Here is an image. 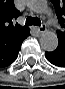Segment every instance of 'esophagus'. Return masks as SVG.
Masks as SVG:
<instances>
[{
    "label": "esophagus",
    "instance_id": "1",
    "mask_svg": "<svg viewBox=\"0 0 65 89\" xmlns=\"http://www.w3.org/2000/svg\"><path fill=\"white\" fill-rule=\"evenodd\" d=\"M34 29L39 33V34H42L46 31V25H41V26H38V27H34Z\"/></svg>",
    "mask_w": 65,
    "mask_h": 89
}]
</instances>
